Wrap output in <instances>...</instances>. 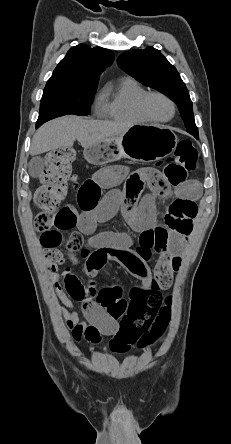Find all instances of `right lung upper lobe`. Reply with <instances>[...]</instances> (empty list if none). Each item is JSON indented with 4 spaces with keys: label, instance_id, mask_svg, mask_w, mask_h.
I'll list each match as a JSON object with an SVG mask.
<instances>
[{
    "label": "right lung upper lobe",
    "instance_id": "cb5924a9",
    "mask_svg": "<svg viewBox=\"0 0 231 444\" xmlns=\"http://www.w3.org/2000/svg\"><path fill=\"white\" fill-rule=\"evenodd\" d=\"M114 54L85 44L72 47L59 62L45 89H94L100 74L112 64Z\"/></svg>",
    "mask_w": 231,
    "mask_h": 444
}]
</instances>
